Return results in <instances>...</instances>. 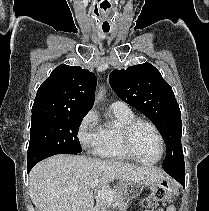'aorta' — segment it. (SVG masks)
<instances>
[{
	"instance_id": "1",
	"label": "aorta",
	"mask_w": 209,
	"mask_h": 211,
	"mask_svg": "<svg viewBox=\"0 0 209 211\" xmlns=\"http://www.w3.org/2000/svg\"><path fill=\"white\" fill-rule=\"evenodd\" d=\"M103 97V93L100 91L99 93H98V95L96 96V99H101Z\"/></svg>"
}]
</instances>
